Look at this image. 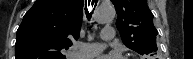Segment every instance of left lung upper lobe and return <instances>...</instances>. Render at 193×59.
Segmentation results:
<instances>
[{"label": "left lung upper lobe", "instance_id": "left-lung-upper-lobe-1", "mask_svg": "<svg viewBox=\"0 0 193 59\" xmlns=\"http://www.w3.org/2000/svg\"><path fill=\"white\" fill-rule=\"evenodd\" d=\"M118 14L116 26L123 43L141 55L157 51L153 14L147 0H111Z\"/></svg>", "mask_w": 193, "mask_h": 59}]
</instances>
